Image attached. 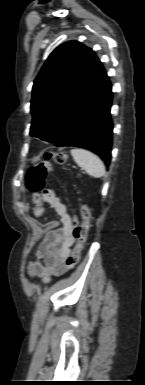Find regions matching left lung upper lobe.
<instances>
[{
  "label": "left lung upper lobe",
  "instance_id": "left-lung-upper-lobe-1",
  "mask_svg": "<svg viewBox=\"0 0 145 385\" xmlns=\"http://www.w3.org/2000/svg\"><path fill=\"white\" fill-rule=\"evenodd\" d=\"M98 59L77 41H69L49 56L33 85L31 136L51 141L90 80Z\"/></svg>",
  "mask_w": 145,
  "mask_h": 385
}]
</instances>
